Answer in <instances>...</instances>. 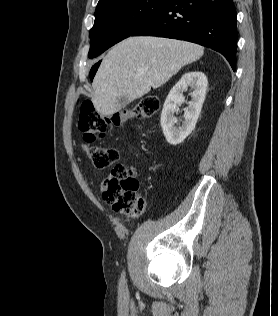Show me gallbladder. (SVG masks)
<instances>
[{
	"mask_svg": "<svg viewBox=\"0 0 278 316\" xmlns=\"http://www.w3.org/2000/svg\"><path fill=\"white\" fill-rule=\"evenodd\" d=\"M118 103L121 105V109H124L129 104V102L127 101V98L125 96L119 98Z\"/></svg>",
	"mask_w": 278,
	"mask_h": 316,
	"instance_id": "bac80fb5",
	"label": "gallbladder"
}]
</instances>
